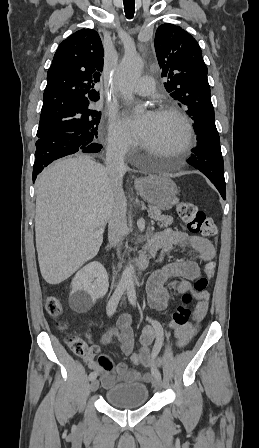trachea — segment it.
I'll return each instance as SVG.
<instances>
[{
    "label": "trachea",
    "mask_w": 259,
    "mask_h": 448,
    "mask_svg": "<svg viewBox=\"0 0 259 448\" xmlns=\"http://www.w3.org/2000/svg\"><path fill=\"white\" fill-rule=\"evenodd\" d=\"M124 10L127 18H133L135 12V0H123Z\"/></svg>",
    "instance_id": "trachea-1"
}]
</instances>
